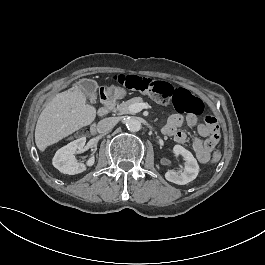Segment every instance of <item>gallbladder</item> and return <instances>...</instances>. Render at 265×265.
<instances>
[{"label":"gallbladder","mask_w":265,"mask_h":265,"mask_svg":"<svg viewBox=\"0 0 265 265\" xmlns=\"http://www.w3.org/2000/svg\"><path fill=\"white\" fill-rule=\"evenodd\" d=\"M80 88L85 89L87 94L90 95V102L96 103L97 102V96H96V84L91 83L89 81L80 80Z\"/></svg>","instance_id":"bac80fb5"}]
</instances>
